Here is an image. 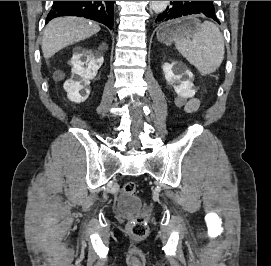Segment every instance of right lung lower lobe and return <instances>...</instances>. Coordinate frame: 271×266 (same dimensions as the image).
<instances>
[{
  "label": "right lung lower lobe",
  "mask_w": 271,
  "mask_h": 266,
  "mask_svg": "<svg viewBox=\"0 0 271 266\" xmlns=\"http://www.w3.org/2000/svg\"><path fill=\"white\" fill-rule=\"evenodd\" d=\"M114 1H54L46 22L59 16H79L113 28Z\"/></svg>",
  "instance_id": "obj_1"
}]
</instances>
